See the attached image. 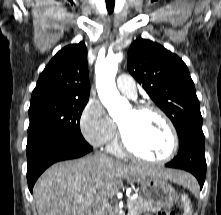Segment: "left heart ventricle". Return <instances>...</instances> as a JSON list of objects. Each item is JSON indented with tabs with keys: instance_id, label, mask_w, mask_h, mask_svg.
Here are the masks:
<instances>
[{
	"instance_id": "b2bd125f",
	"label": "left heart ventricle",
	"mask_w": 221,
	"mask_h": 215,
	"mask_svg": "<svg viewBox=\"0 0 221 215\" xmlns=\"http://www.w3.org/2000/svg\"><path fill=\"white\" fill-rule=\"evenodd\" d=\"M131 147L149 158L159 159L168 154L171 137L162 119L155 113H136L131 109L119 120Z\"/></svg>"
}]
</instances>
